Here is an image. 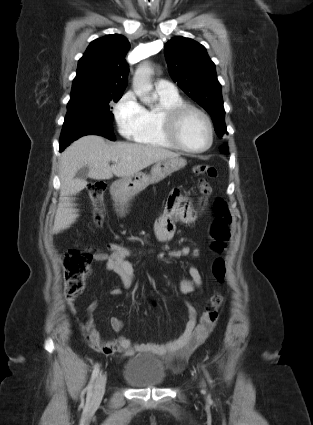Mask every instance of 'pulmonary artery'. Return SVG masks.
Masks as SVG:
<instances>
[{
	"label": "pulmonary artery",
	"mask_w": 313,
	"mask_h": 425,
	"mask_svg": "<svg viewBox=\"0 0 313 425\" xmlns=\"http://www.w3.org/2000/svg\"><path fill=\"white\" fill-rule=\"evenodd\" d=\"M155 89L158 93L166 94V95H176L177 89L176 87L168 80L159 79L155 83Z\"/></svg>",
	"instance_id": "1"
}]
</instances>
